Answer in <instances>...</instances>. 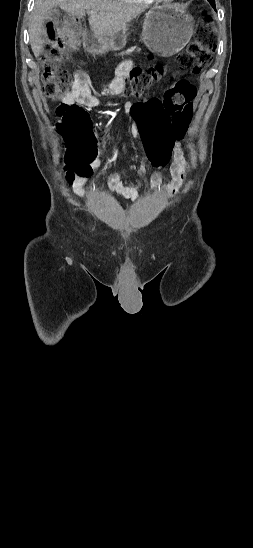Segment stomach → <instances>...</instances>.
Masks as SVG:
<instances>
[{"label": "stomach", "mask_w": 253, "mask_h": 548, "mask_svg": "<svg viewBox=\"0 0 253 548\" xmlns=\"http://www.w3.org/2000/svg\"><path fill=\"white\" fill-rule=\"evenodd\" d=\"M193 35V18L175 5L155 6L145 14L142 39L145 45L161 56H172L182 50ZM88 45L96 55L118 51L127 43L126 32L117 37H98Z\"/></svg>", "instance_id": "obj_1"}]
</instances>
